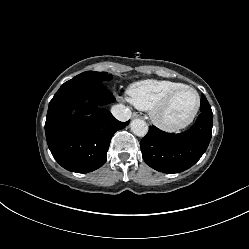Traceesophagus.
Wrapping results in <instances>:
<instances>
[{"label": "esophagus", "instance_id": "obj_1", "mask_svg": "<svg viewBox=\"0 0 249 249\" xmlns=\"http://www.w3.org/2000/svg\"><path fill=\"white\" fill-rule=\"evenodd\" d=\"M132 117H133V118H138V117H139V114L133 113V114H132Z\"/></svg>", "mask_w": 249, "mask_h": 249}]
</instances>
